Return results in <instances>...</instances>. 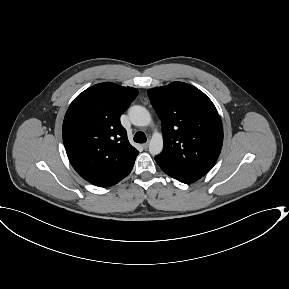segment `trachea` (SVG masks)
<instances>
[{"label": "trachea", "mask_w": 289, "mask_h": 289, "mask_svg": "<svg viewBox=\"0 0 289 289\" xmlns=\"http://www.w3.org/2000/svg\"><path fill=\"white\" fill-rule=\"evenodd\" d=\"M134 141L137 142V143H145L146 142V135L144 132H137L135 135H134Z\"/></svg>", "instance_id": "3493384b"}]
</instances>
